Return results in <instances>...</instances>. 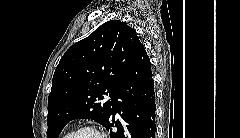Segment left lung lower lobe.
<instances>
[{
    "label": "left lung lower lobe",
    "instance_id": "obj_1",
    "mask_svg": "<svg viewBox=\"0 0 240 138\" xmlns=\"http://www.w3.org/2000/svg\"><path fill=\"white\" fill-rule=\"evenodd\" d=\"M150 59L142 45L123 83L112 99L109 118L104 124L112 138L155 137V91ZM118 113L122 122H115ZM116 126L117 130L112 131Z\"/></svg>",
    "mask_w": 240,
    "mask_h": 138
}]
</instances>
